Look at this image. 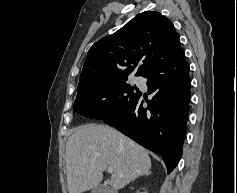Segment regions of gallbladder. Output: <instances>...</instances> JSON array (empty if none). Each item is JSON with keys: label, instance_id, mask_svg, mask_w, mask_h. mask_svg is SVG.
<instances>
[{"label": "gallbladder", "instance_id": "gallbladder-1", "mask_svg": "<svg viewBox=\"0 0 237 193\" xmlns=\"http://www.w3.org/2000/svg\"><path fill=\"white\" fill-rule=\"evenodd\" d=\"M91 193H110V189L107 185H98L92 189Z\"/></svg>", "mask_w": 237, "mask_h": 193}]
</instances>
